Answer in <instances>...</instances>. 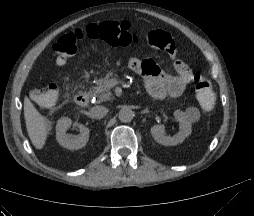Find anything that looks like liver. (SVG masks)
<instances>
[{"label": "liver", "instance_id": "liver-1", "mask_svg": "<svg viewBox=\"0 0 254 216\" xmlns=\"http://www.w3.org/2000/svg\"><path fill=\"white\" fill-rule=\"evenodd\" d=\"M24 118L32 144L36 149H42L48 135V122L28 97L24 99Z\"/></svg>", "mask_w": 254, "mask_h": 216}]
</instances>
